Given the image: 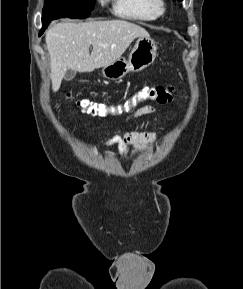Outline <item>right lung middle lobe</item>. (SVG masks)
I'll list each match as a JSON object with an SVG mask.
<instances>
[{
  "instance_id": "dd1d6c3e",
  "label": "right lung middle lobe",
  "mask_w": 243,
  "mask_h": 289,
  "mask_svg": "<svg viewBox=\"0 0 243 289\" xmlns=\"http://www.w3.org/2000/svg\"><path fill=\"white\" fill-rule=\"evenodd\" d=\"M95 0H45L42 19H84L90 16Z\"/></svg>"
}]
</instances>
